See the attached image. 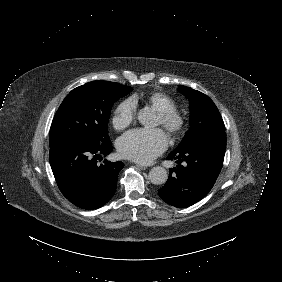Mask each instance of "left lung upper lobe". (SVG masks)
Wrapping results in <instances>:
<instances>
[{
    "label": "left lung upper lobe",
    "instance_id": "5c2ea615",
    "mask_svg": "<svg viewBox=\"0 0 282 282\" xmlns=\"http://www.w3.org/2000/svg\"><path fill=\"white\" fill-rule=\"evenodd\" d=\"M178 91L190 101V129L175 150L185 148L197 138L225 133L222 117L208 96L186 86H179Z\"/></svg>",
    "mask_w": 282,
    "mask_h": 282
}]
</instances>
